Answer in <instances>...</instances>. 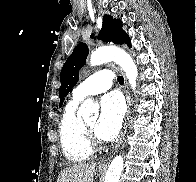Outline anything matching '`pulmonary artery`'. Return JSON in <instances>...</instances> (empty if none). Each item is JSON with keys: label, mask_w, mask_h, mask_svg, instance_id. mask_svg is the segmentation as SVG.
Masks as SVG:
<instances>
[{"label": "pulmonary artery", "mask_w": 196, "mask_h": 182, "mask_svg": "<svg viewBox=\"0 0 196 182\" xmlns=\"http://www.w3.org/2000/svg\"><path fill=\"white\" fill-rule=\"evenodd\" d=\"M113 76L107 69H101L81 82L73 90V98L83 100L109 90L112 86Z\"/></svg>", "instance_id": "pulmonary-artery-1"}]
</instances>
